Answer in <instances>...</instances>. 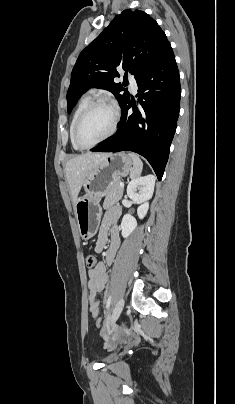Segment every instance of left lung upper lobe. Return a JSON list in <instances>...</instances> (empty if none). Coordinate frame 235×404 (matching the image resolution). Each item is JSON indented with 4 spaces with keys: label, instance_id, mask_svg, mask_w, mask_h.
Wrapping results in <instances>:
<instances>
[{
    "label": "left lung upper lobe",
    "instance_id": "1",
    "mask_svg": "<svg viewBox=\"0 0 235 404\" xmlns=\"http://www.w3.org/2000/svg\"><path fill=\"white\" fill-rule=\"evenodd\" d=\"M168 43L165 33L148 14L124 10L80 53L67 93L68 113L91 87L112 92L122 107L130 94L124 84L114 82L119 77L117 69L123 68L136 77Z\"/></svg>",
    "mask_w": 235,
    "mask_h": 404
}]
</instances>
